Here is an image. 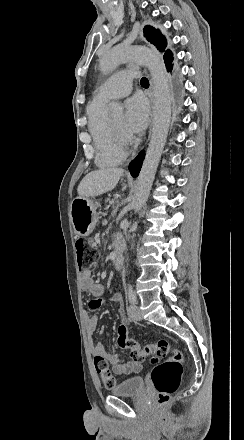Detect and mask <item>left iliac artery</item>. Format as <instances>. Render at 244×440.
I'll return each instance as SVG.
<instances>
[{"label":"left iliac artery","mask_w":244,"mask_h":440,"mask_svg":"<svg viewBox=\"0 0 244 440\" xmlns=\"http://www.w3.org/2000/svg\"><path fill=\"white\" fill-rule=\"evenodd\" d=\"M136 299H137L136 298V294H135L133 288L130 286L128 288V300H129L130 303L135 304L136 303Z\"/></svg>","instance_id":"1"}]
</instances>
